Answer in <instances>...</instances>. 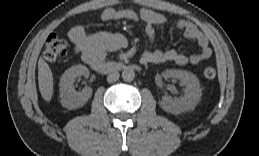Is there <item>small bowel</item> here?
I'll return each mask as SVG.
<instances>
[{"instance_id": "1", "label": "small bowel", "mask_w": 259, "mask_h": 156, "mask_svg": "<svg viewBox=\"0 0 259 156\" xmlns=\"http://www.w3.org/2000/svg\"><path fill=\"white\" fill-rule=\"evenodd\" d=\"M101 18L106 22L124 19L143 22L145 23V33L150 42L154 41L155 28L157 26H167L169 24V21L165 16L150 9L118 10L108 7L103 10ZM176 28L181 30L187 39L197 43L199 47L198 53L184 55L174 49H149L142 54V63L159 64L173 62L177 65L198 64L212 55V50L209 46L207 37L195 24L186 19H179L176 22ZM68 36L74 44L76 51L90 66L96 62L104 61L107 52L119 50L127 46V40L122 34H90L83 26L73 27L69 31Z\"/></svg>"}]
</instances>
